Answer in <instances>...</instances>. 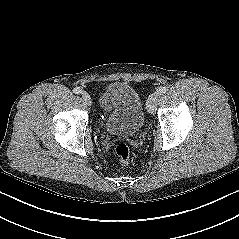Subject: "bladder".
<instances>
[{"label": "bladder", "mask_w": 239, "mask_h": 239, "mask_svg": "<svg viewBox=\"0 0 239 239\" xmlns=\"http://www.w3.org/2000/svg\"><path fill=\"white\" fill-rule=\"evenodd\" d=\"M106 92L109 95L110 110L102 119L104 127L112 133L134 135L144 121L140 94L126 82H112Z\"/></svg>", "instance_id": "obj_1"}]
</instances>
